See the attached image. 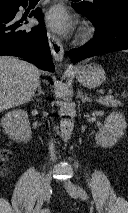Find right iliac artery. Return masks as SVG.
Wrapping results in <instances>:
<instances>
[{
    "instance_id": "right-iliac-artery-1",
    "label": "right iliac artery",
    "mask_w": 128,
    "mask_h": 213,
    "mask_svg": "<svg viewBox=\"0 0 128 213\" xmlns=\"http://www.w3.org/2000/svg\"><path fill=\"white\" fill-rule=\"evenodd\" d=\"M49 193H50V192H49ZM46 212H47V210H43V211H42V213H46Z\"/></svg>"
}]
</instances>
